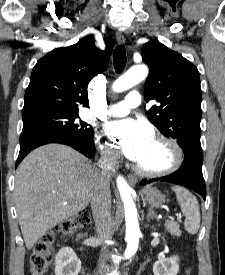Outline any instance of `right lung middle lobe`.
<instances>
[{
	"instance_id": "obj_1",
	"label": "right lung middle lobe",
	"mask_w": 225,
	"mask_h": 275,
	"mask_svg": "<svg viewBox=\"0 0 225 275\" xmlns=\"http://www.w3.org/2000/svg\"><path fill=\"white\" fill-rule=\"evenodd\" d=\"M79 110L47 111L25 115L23 130L42 128L59 131L79 139H93V129L87 123L79 120Z\"/></svg>"
}]
</instances>
